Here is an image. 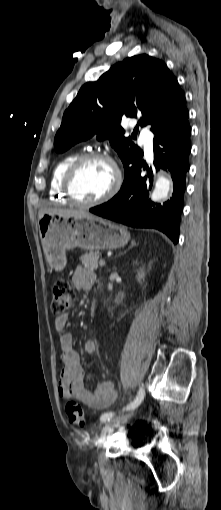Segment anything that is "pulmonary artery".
I'll return each instance as SVG.
<instances>
[{
	"label": "pulmonary artery",
	"mask_w": 221,
	"mask_h": 510,
	"mask_svg": "<svg viewBox=\"0 0 221 510\" xmlns=\"http://www.w3.org/2000/svg\"><path fill=\"white\" fill-rule=\"evenodd\" d=\"M152 132L143 130L140 134L139 142L144 147L145 153L151 157L153 152Z\"/></svg>",
	"instance_id": "1"
}]
</instances>
